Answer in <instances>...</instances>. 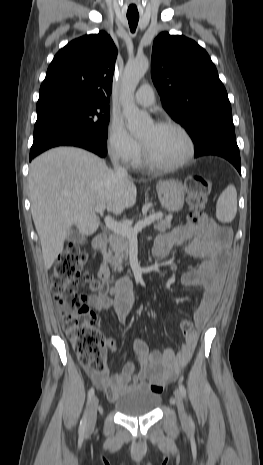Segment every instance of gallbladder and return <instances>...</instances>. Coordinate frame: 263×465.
Returning a JSON list of instances; mask_svg holds the SVG:
<instances>
[{
	"label": "gallbladder",
	"instance_id": "obj_1",
	"mask_svg": "<svg viewBox=\"0 0 263 465\" xmlns=\"http://www.w3.org/2000/svg\"><path fill=\"white\" fill-rule=\"evenodd\" d=\"M68 240H73L76 242H84L85 241V236L78 232L77 230L71 229L66 237Z\"/></svg>",
	"mask_w": 263,
	"mask_h": 465
}]
</instances>
